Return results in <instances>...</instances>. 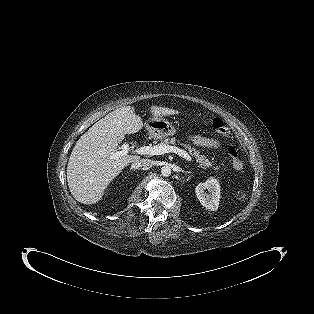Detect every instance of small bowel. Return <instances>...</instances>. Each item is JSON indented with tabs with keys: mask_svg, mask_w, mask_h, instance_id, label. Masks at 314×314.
Returning a JSON list of instances; mask_svg holds the SVG:
<instances>
[{
	"mask_svg": "<svg viewBox=\"0 0 314 314\" xmlns=\"http://www.w3.org/2000/svg\"><path fill=\"white\" fill-rule=\"evenodd\" d=\"M188 140L193 144L208 148V149H217L219 147V142L213 138L206 137L199 134H189L187 136Z\"/></svg>",
	"mask_w": 314,
	"mask_h": 314,
	"instance_id": "small-bowel-1",
	"label": "small bowel"
}]
</instances>
